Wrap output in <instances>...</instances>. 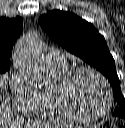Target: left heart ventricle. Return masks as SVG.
Here are the masks:
<instances>
[{
  "label": "left heart ventricle",
  "mask_w": 125,
  "mask_h": 128,
  "mask_svg": "<svg viewBox=\"0 0 125 128\" xmlns=\"http://www.w3.org/2000/svg\"><path fill=\"white\" fill-rule=\"evenodd\" d=\"M71 97L77 108L85 114L100 113L107 102L102 83L87 72L80 74L73 82Z\"/></svg>",
  "instance_id": "b2bd125f"
}]
</instances>
